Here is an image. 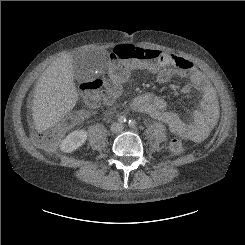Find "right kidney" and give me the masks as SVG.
Masks as SVG:
<instances>
[{
    "mask_svg": "<svg viewBox=\"0 0 245 245\" xmlns=\"http://www.w3.org/2000/svg\"><path fill=\"white\" fill-rule=\"evenodd\" d=\"M86 139L87 132L85 130L73 131L62 141L60 149L63 152L71 153L82 146Z\"/></svg>",
    "mask_w": 245,
    "mask_h": 245,
    "instance_id": "right-kidney-1",
    "label": "right kidney"
}]
</instances>
